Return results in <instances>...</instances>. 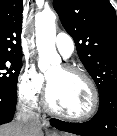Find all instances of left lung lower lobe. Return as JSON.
Listing matches in <instances>:
<instances>
[{
    "mask_svg": "<svg viewBox=\"0 0 117 136\" xmlns=\"http://www.w3.org/2000/svg\"><path fill=\"white\" fill-rule=\"evenodd\" d=\"M51 125L61 131L81 136H117V86L100 98L96 115L84 123H69L57 119Z\"/></svg>",
    "mask_w": 117,
    "mask_h": 136,
    "instance_id": "1",
    "label": "left lung lower lobe"
}]
</instances>
